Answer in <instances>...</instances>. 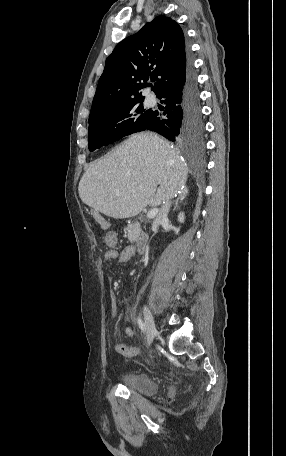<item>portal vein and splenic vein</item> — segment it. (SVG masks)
<instances>
[{"label":"portal vein and splenic vein","mask_w":286,"mask_h":456,"mask_svg":"<svg viewBox=\"0 0 286 456\" xmlns=\"http://www.w3.org/2000/svg\"><path fill=\"white\" fill-rule=\"evenodd\" d=\"M157 213H158V209L157 208L151 209L150 211H148L147 217L153 218Z\"/></svg>","instance_id":"1"}]
</instances>
